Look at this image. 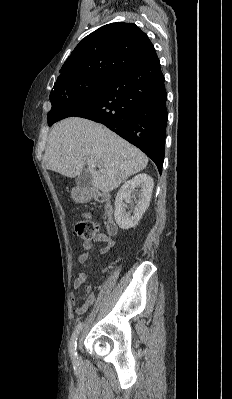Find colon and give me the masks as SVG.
<instances>
[{"mask_svg": "<svg viewBox=\"0 0 232 399\" xmlns=\"http://www.w3.org/2000/svg\"><path fill=\"white\" fill-rule=\"evenodd\" d=\"M93 232H96L95 224L92 223L91 216L84 217V224H82V217L78 216L77 221H74V238L85 239L93 238ZM93 295H98V288H93Z\"/></svg>", "mask_w": 232, "mask_h": 399, "instance_id": "1", "label": "colon"}]
</instances>
